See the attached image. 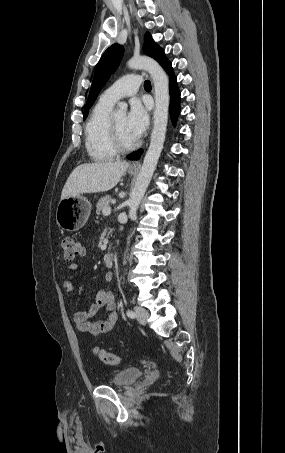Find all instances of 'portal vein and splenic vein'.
Listing matches in <instances>:
<instances>
[{
    "label": "portal vein and splenic vein",
    "mask_w": 285,
    "mask_h": 453,
    "mask_svg": "<svg viewBox=\"0 0 285 453\" xmlns=\"http://www.w3.org/2000/svg\"><path fill=\"white\" fill-rule=\"evenodd\" d=\"M102 213L104 216H108L111 213V209L110 208L104 209Z\"/></svg>",
    "instance_id": "obj_1"
}]
</instances>
